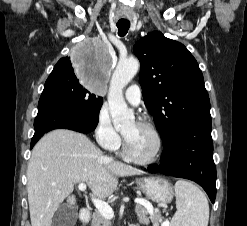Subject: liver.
<instances>
[{
    "instance_id": "liver-1",
    "label": "liver",
    "mask_w": 247,
    "mask_h": 226,
    "mask_svg": "<svg viewBox=\"0 0 247 226\" xmlns=\"http://www.w3.org/2000/svg\"><path fill=\"white\" fill-rule=\"evenodd\" d=\"M141 171L103 155L85 135L57 129L40 139L32 150L27 168V193L32 226H51L52 218L71 195L76 183H87L100 199L117 188L118 177L140 175Z\"/></svg>"
}]
</instances>
